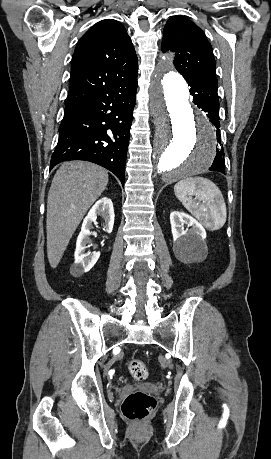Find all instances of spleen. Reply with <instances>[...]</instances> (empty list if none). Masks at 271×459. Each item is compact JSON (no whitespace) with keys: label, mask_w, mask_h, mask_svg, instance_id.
<instances>
[{"label":"spleen","mask_w":271,"mask_h":459,"mask_svg":"<svg viewBox=\"0 0 271 459\" xmlns=\"http://www.w3.org/2000/svg\"><path fill=\"white\" fill-rule=\"evenodd\" d=\"M176 198L205 228L220 229L227 218L226 204L217 186L207 178H185L174 186ZM191 196H196L192 200ZM202 204H199V202Z\"/></svg>","instance_id":"spleen-1"}]
</instances>
